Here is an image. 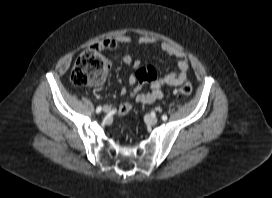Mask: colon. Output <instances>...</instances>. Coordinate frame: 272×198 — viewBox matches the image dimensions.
Returning <instances> with one entry per match:
<instances>
[{"label":"colon","instance_id":"obj_1","mask_svg":"<svg viewBox=\"0 0 272 198\" xmlns=\"http://www.w3.org/2000/svg\"><path fill=\"white\" fill-rule=\"evenodd\" d=\"M109 68L108 60L96 49H90L82 52L71 71V80L77 86L96 85L103 81ZM156 74L152 66L139 69L140 77L153 76ZM192 89L189 85H184L177 89L180 96H189ZM123 114V111H121Z\"/></svg>","mask_w":272,"mask_h":198}]
</instances>
